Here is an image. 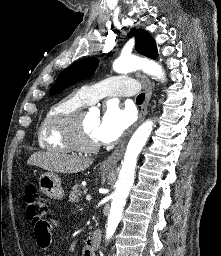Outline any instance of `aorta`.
Instances as JSON below:
<instances>
[{"label":"aorta","mask_w":221,"mask_h":256,"mask_svg":"<svg viewBox=\"0 0 221 256\" xmlns=\"http://www.w3.org/2000/svg\"><path fill=\"white\" fill-rule=\"evenodd\" d=\"M142 69L145 73L164 80V71L160 65L153 61H141L135 57H119L113 63V70L117 73H127ZM153 121L146 120L132 135L122 161L119 177L116 182V189L112 195L111 209L108 216L106 238L110 239L121 219L123 207L135 179V168L137 158L146 144L152 129Z\"/></svg>","instance_id":"762f6f07"}]
</instances>
